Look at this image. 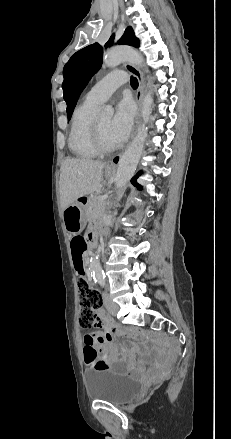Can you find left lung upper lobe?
Returning <instances> with one entry per match:
<instances>
[{"label":"left lung upper lobe","instance_id":"5c2ea615","mask_svg":"<svg viewBox=\"0 0 231 439\" xmlns=\"http://www.w3.org/2000/svg\"><path fill=\"white\" fill-rule=\"evenodd\" d=\"M114 35L111 36L105 47L112 44ZM118 44L139 46V40L136 38L134 31L128 27L123 36L119 39ZM103 60V47L98 43L89 45L77 51L70 60L65 64L63 69L64 81L62 88L64 91V100L67 103V116L70 120L77 100L88 84L91 77L100 69Z\"/></svg>","mask_w":231,"mask_h":439}]
</instances>
